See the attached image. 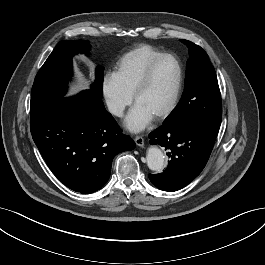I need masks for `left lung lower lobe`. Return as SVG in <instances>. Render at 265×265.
Masks as SVG:
<instances>
[{
	"label": "left lung lower lobe",
	"instance_id": "obj_1",
	"mask_svg": "<svg viewBox=\"0 0 265 265\" xmlns=\"http://www.w3.org/2000/svg\"><path fill=\"white\" fill-rule=\"evenodd\" d=\"M150 144L160 145L170 157L167 168L148 178L157 188L177 191L195 179L205 167L215 139L192 124L162 125L149 134Z\"/></svg>",
	"mask_w": 265,
	"mask_h": 265
}]
</instances>
